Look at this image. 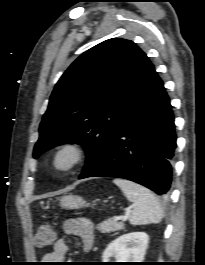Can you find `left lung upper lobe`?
<instances>
[{"instance_id":"left-lung-upper-lobe-1","label":"left lung upper lobe","mask_w":205,"mask_h":265,"mask_svg":"<svg viewBox=\"0 0 205 265\" xmlns=\"http://www.w3.org/2000/svg\"><path fill=\"white\" fill-rule=\"evenodd\" d=\"M154 65L130 40H106L78 57L57 82L33 157L65 143L83 145L85 167L103 149L144 90Z\"/></svg>"}]
</instances>
